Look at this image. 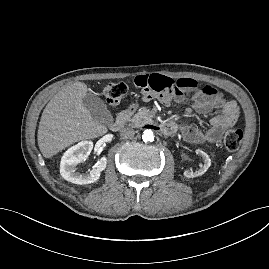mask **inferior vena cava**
<instances>
[{"mask_svg": "<svg viewBox=\"0 0 269 269\" xmlns=\"http://www.w3.org/2000/svg\"><path fill=\"white\" fill-rule=\"evenodd\" d=\"M120 132L121 136L127 139H131L135 135V131L131 127H124Z\"/></svg>", "mask_w": 269, "mask_h": 269, "instance_id": "inferior-vena-cava-1", "label": "inferior vena cava"}]
</instances>
